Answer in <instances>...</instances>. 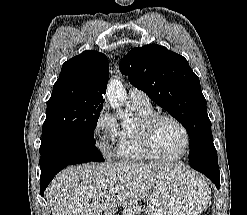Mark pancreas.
Masks as SVG:
<instances>
[{"instance_id":"cf45deb5","label":"pancreas","mask_w":247,"mask_h":215,"mask_svg":"<svg viewBox=\"0 0 247 215\" xmlns=\"http://www.w3.org/2000/svg\"><path fill=\"white\" fill-rule=\"evenodd\" d=\"M142 212V209L140 206L134 205L128 208L125 212L124 215H140Z\"/></svg>"}]
</instances>
